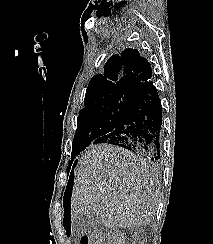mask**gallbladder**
Returning <instances> with one entry per match:
<instances>
[{
    "instance_id": "bac80fb5",
    "label": "gallbladder",
    "mask_w": 213,
    "mask_h": 244,
    "mask_svg": "<svg viewBox=\"0 0 213 244\" xmlns=\"http://www.w3.org/2000/svg\"><path fill=\"white\" fill-rule=\"evenodd\" d=\"M103 228L99 216L94 212L83 213L73 222V231L78 236L90 235Z\"/></svg>"
}]
</instances>
